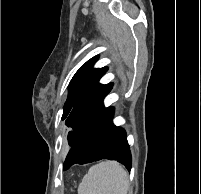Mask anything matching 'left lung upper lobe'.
Wrapping results in <instances>:
<instances>
[{
    "label": "left lung upper lobe",
    "mask_w": 201,
    "mask_h": 194,
    "mask_svg": "<svg viewBox=\"0 0 201 194\" xmlns=\"http://www.w3.org/2000/svg\"><path fill=\"white\" fill-rule=\"evenodd\" d=\"M98 58L95 56L88 60L71 80L62 115L70 129L68 137L74 136L86 121L104 107L103 100L112 89V83H99L108 68H93Z\"/></svg>",
    "instance_id": "1"
}]
</instances>
